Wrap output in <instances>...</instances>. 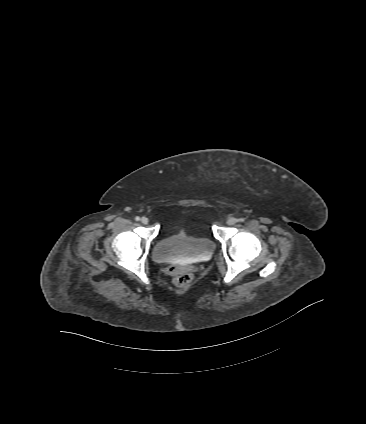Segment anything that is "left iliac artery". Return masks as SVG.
Here are the masks:
<instances>
[{"mask_svg":"<svg viewBox=\"0 0 366 424\" xmlns=\"http://www.w3.org/2000/svg\"><path fill=\"white\" fill-rule=\"evenodd\" d=\"M239 222H244V218L238 219Z\"/></svg>","mask_w":366,"mask_h":424,"instance_id":"left-iliac-artery-1","label":"left iliac artery"}]
</instances>
